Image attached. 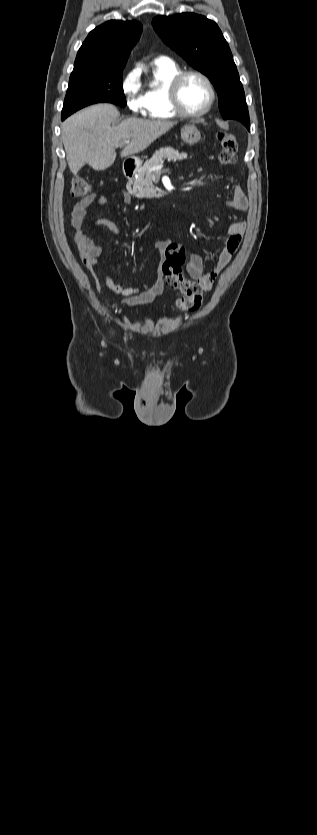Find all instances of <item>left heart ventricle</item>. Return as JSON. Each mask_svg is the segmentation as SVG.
Here are the masks:
<instances>
[{
  "instance_id": "left-heart-ventricle-1",
  "label": "left heart ventricle",
  "mask_w": 317,
  "mask_h": 835,
  "mask_svg": "<svg viewBox=\"0 0 317 835\" xmlns=\"http://www.w3.org/2000/svg\"><path fill=\"white\" fill-rule=\"evenodd\" d=\"M209 97V89L201 78L189 76L183 82L180 98L188 112L203 110L209 101Z\"/></svg>"
}]
</instances>
